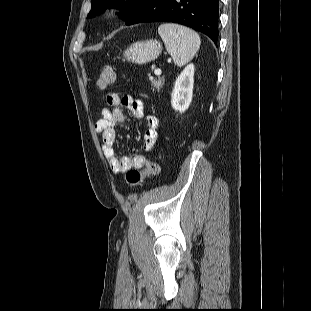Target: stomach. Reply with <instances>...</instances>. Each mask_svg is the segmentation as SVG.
I'll use <instances>...</instances> for the list:
<instances>
[{
    "mask_svg": "<svg viewBox=\"0 0 311 311\" xmlns=\"http://www.w3.org/2000/svg\"><path fill=\"white\" fill-rule=\"evenodd\" d=\"M161 51V43L156 39H149L134 42L124 51L123 56L128 62L145 64L155 60Z\"/></svg>",
    "mask_w": 311,
    "mask_h": 311,
    "instance_id": "0dacf381",
    "label": "stomach"
}]
</instances>
